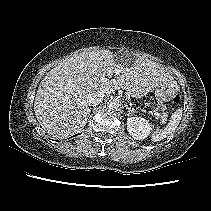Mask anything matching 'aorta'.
<instances>
[{
	"mask_svg": "<svg viewBox=\"0 0 211 211\" xmlns=\"http://www.w3.org/2000/svg\"><path fill=\"white\" fill-rule=\"evenodd\" d=\"M108 107L109 109L111 110H115L119 107V100L118 99H115V98H112L111 100H109L108 102Z\"/></svg>",
	"mask_w": 211,
	"mask_h": 211,
	"instance_id": "1",
	"label": "aorta"
}]
</instances>
